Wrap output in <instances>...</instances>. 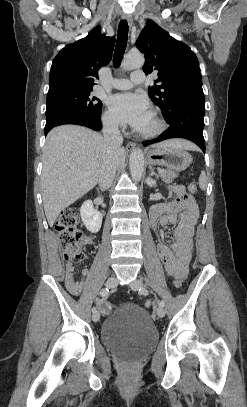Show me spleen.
Returning a JSON list of instances; mask_svg holds the SVG:
<instances>
[{
    "label": "spleen",
    "mask_w": 247,
    "mask_h": 407,
    "mask_svg": "<svg viewBox=\"0 0 247 407\" xmlns=\"http://www.w3.org/2000/svg\"><path fill=\"white\" fill-rule=\"evenodd\" d=\"M199 187L201 190H205L207 188V177L204 171L201 172L199 177Z\"/></svg>",
    "instance_id": "3e777b00"
}]
</instances>
